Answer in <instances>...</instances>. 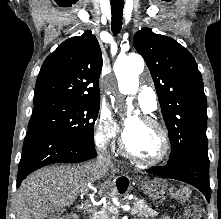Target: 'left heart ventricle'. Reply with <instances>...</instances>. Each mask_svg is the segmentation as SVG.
I'll use <instances>...</instances> for the list:
<instances>
[{"label":"left heart ventricle","mask_w":221,"mask_h":219,"mask_svg":"<svg viewBox=\"0 0 221 219\" xmlns=\"http://www.w3.org/2000/svg\"><path fill=\"white\" fill-rule=\"evenodd\" d=\"M124 136L128 150L145 159L156 157L161 150V137L156 128L142 123L139 119H130Z\"/></svg>","instance_id":"b2bd125f"}]
</instances>
